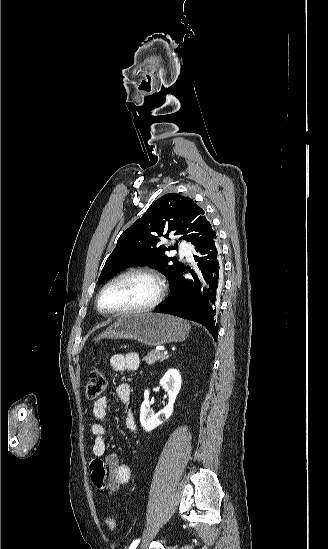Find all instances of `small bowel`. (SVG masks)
<instances>
[{"mask_svg":"<svg viewBox=\"0 0 328 549\" xmlns=\"http://www.w3.org/2000/svg\"><path fill=\"white\" fill-rule=\"evenodd\" d=\"M140 358L135 352L114 354L109 360V366L113 371H135L139 368ZM119 400L129 406L131 389L128 383H121L116 389ZM96 419L91 425V433L94 436L93 455L90 463L91 475L94 484L101 490L113 494L120 487L127 485L131 480V469L128 465L120 463L115 453H106L105 427L103 422L108 416V399L102 396L95 400L92 409ZM129 430H136L133 413L128 408L125 418Z\"/></svg>","mask_w":328,"mask_h":549,"instance_id":"small-bowel-1","label":"small bowel"}]
</instances>
